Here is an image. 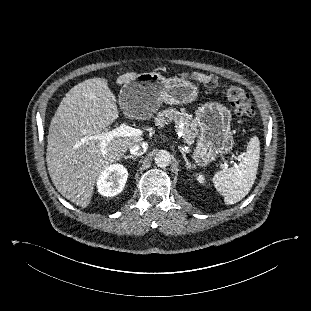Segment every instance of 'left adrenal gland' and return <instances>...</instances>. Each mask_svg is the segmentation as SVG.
<instances>
[{
    "label": "left adrenal gland",
    "instance_id": "1",
    "mask_svg": "<svg viewBox=\"0 0 311 311\" xmlns=\"http://www.w3.org/2000/svg\"><path fill=\"white\" fill-rule=\"evenodd\" d=\"M179 151L181 152L183 158H184V161H185V166L188 168V169H191V163L188 161L187 157H186V154L184 153L183 149L179 146Z\"/></svg>",
    "mask_w": 311,
    "mask_h": 311
}]
</instances>
